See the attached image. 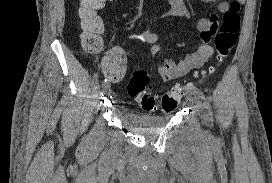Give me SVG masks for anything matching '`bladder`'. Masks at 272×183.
Wrapping results in <instances>:
<instances>
[{"instance_id": "31cf9c89", "label": "bladder", "mask_w": 272, "mask_h": 183, "mask_svg": "<svg viewBox=\"0 0 272 183\" xmlns=\"http://www.w3.org/2000/svg\"><path fill=\"white\" fill-rule=\"evenodd\" d=\"M120 117L121 121L130 128L155 131L166 127L172 115L170 113L164 115H142L126 111Z\"/></svg>"}]
</instances>
